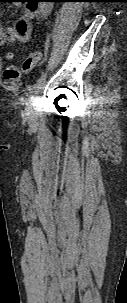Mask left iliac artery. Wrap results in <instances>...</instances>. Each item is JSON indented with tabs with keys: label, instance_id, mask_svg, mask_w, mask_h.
Returning <instances> with one entry per match:
<instances>
[{
	"label": "left iliac artery",
	"instance_id": "44dca946",
	"mask_svg": "<svg viewBox=\"0 0 127 303\" xmlns=\"http://www.w3.org/2000/svg\"><path fill=\"white\" fill-rule=\"evenodd\" d=\"M47 71L42 72L40 77L37 79V81L29 88L31 99L33 98L34 94H36L39 90V88L42 86L46 79Z\"/></svg>",
	"mask_w": 127,
	"mask_h": 303
}]
</instances>
